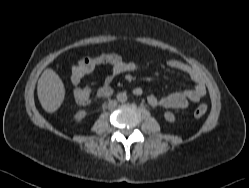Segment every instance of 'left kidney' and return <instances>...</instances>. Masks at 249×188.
Instances as JSON below:
<instances>
[{
    "instance_id": "1",
    "label": "left kidney",
    "mask_w": 249,
    "mask_h": 188,
    "mask_svg": "<svg viewBox=\"0 0 249 188\" xmlns=\"http://www.w3.org/2000/svg\"><path fill=\"white\" fill-rule=\"evenodd\" d=\"M164 118L168 122H171V123L175 122V115L172 112H168V111L165 112Z\"/></svg>"
}]
</instances>
